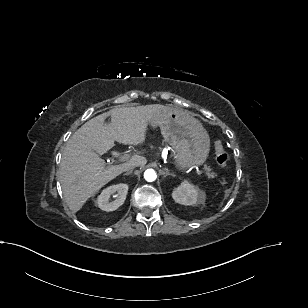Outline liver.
<instances>
[{
  "mask_svg": "<svg viewBox=\"0 0 308 308\" xmlns=\"http://www.w3.org/2000/svg\"><path fill=\"white\" fill-rule=\"evenodd\" d=\"M169 106L160 104L137 107H116L83 124L68 140L64 148L59 179L69 209L76 213L86 201L104 185L125 171L129 163L144 166L146 159L134 155V161L108 165L99 157L114 146L145 142L149 120ZM111 116V122L105 119Z\"/></svg>",
  "mask_w": 308,
  "mask_h": 308,
  "instance_id": "obj_1",
  "label": "liver"
}]
</instances>
